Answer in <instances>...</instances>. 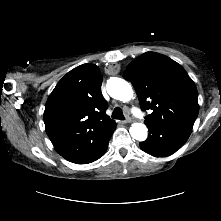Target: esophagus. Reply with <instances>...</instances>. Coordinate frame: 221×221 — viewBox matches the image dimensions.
<instances>
[{"label":"esophagus","instance_id":"1","mask_svg":"<svg viewBox=\"0 0 221 221\" xmlns=\"http://www.w3.org/2000/svg\"><path fill=\"white\" fill-rule=\"evenodd\" d=\"M130 122H132V120H131V118H126V120H124V123H130Z\"/></svg>","mask_w":221,"mask_h":221}]
</instances>
